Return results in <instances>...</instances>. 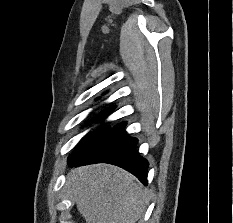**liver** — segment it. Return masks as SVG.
I'll return each mask as SVG.
<instances>
[{"instance_id": "liver-1", "label": "liver", "mask_w": 233, "mask_h": 223, "mask_svg": "<svg viewBox=\"0 0 233 223\" xmlns=\"http://www.w3.org/2000/svg\"><path fill=\"white\" fill-rule=\"evenodd\" d=\"M125 169L109 163L74 167L66 187L85 223H136L149 199Z\"/></svg>"}]
</instances>
